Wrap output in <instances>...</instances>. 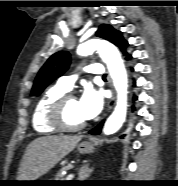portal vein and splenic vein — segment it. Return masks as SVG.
<instances>
[{
    "instance_id": "obj_1",
    "label": "portal vein and splenic vein",
    "mask_w": 178,
    "mask_h": 186,
    "mask_svg": "<svg viewBox=\"0 0 178 186\" xmlns=\"http://www.w3.org/2000/svg\"><path fill=\"white\" fill-rule=\"evenodd\" d=\"M73 178H74V174L71 173V174L67 175L66 180H71Z\"/></svg>"
}]
</instances>
